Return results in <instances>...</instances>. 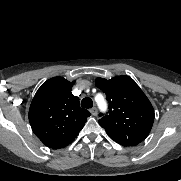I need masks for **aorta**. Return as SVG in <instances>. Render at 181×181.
<instances>
[{
  "label": "aorta",
  "instance_id": "aorta-1",
  "mask_svg": "<svg viewBox=\"0 0 181 181\" xmlns=\"http://www.w3.org/2000/svg\"><path fill=\"white\" fill-rule=\"evenodd\" d=\"M96 101L102 111L106 110L107 104L102 96H100V98H96Z\"/></svg>",
  "mask_w": 181,
  "mask_h": 181
}]
</instances>
